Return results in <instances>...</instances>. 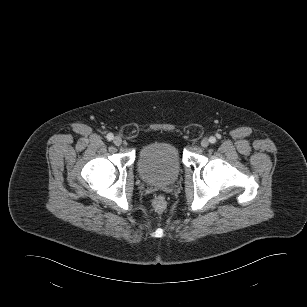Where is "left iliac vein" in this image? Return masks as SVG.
<instances>
[{"instance_id": "obj_1", "label": "left iliac vein", "mask_w": 307, "mask_h": 307, "mask_svg": "<svg viewBox=\"0 0 307 307\" xmlns=\"http://www.w3.org/2000/svg\"><path fill=\"white\" fill-rule=\"evenodd\" d=\"M201 146L203 148H206L209 146V140L207 138H204L202 141H201Z\"/></svg>"}]
</instances>
